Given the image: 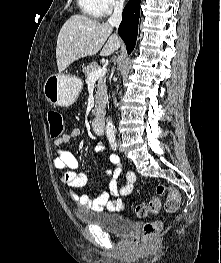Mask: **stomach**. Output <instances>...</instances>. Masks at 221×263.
<instances>
[{
    "label": "stomach",
    "mask_w": 221,
    "mask_h": 263,
    "mask_svg": "<svg viewBox=\"0 0 221 263\" xmlns=\"http://www.w3.org/2000/svg\"><path fill=\"white\" fill-rule=\"evenodd\" d=\"M83 83L79 77L64 74H52L44 83V95L53 105L71 106L77 99Z\"/></svg>",
    "instance_id": "stomach-1"
}]
</instances>
